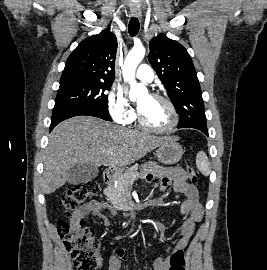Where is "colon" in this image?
<instances>
[{
  "label": "colon",
  "mask_w": 267,
  "mask_h": 270,
  "mask_svg": "<svg viewBox=\"0 0 267 270\" xmlns=\"http://www.w3.org/2000/svg\"><path fill=\"white\" fill-rule=\"evenodd\" d=\"M186 176L190 183L197 181V174L190 161L186 163ZM99 185L95 181H87L76 185L65 192L60 205L67 214H74L79 207L97 194ZM58 233L77 270H98L101 257L99 242L92 229L84 226V221L76 224L59 220ZM168 270H185V253L183 249L174 251L169 260Z\"/></svg>",
  "instance_id": "1"
}]
</instances>
